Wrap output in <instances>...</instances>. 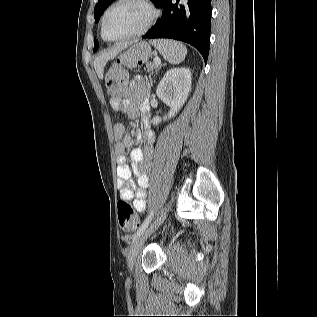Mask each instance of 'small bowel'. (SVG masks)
Listing matches in <instances>:
<instances>
[{
  "label": "small bowel",
  "instance_id": "obj_1",
  "mask_svg": "<svg viewBox=\"0 0 317 317\" xmlns=\"http://www.w3.org/2000/svg\"><path fill=\"white\" fill-rule=\"evenodd\" d=\"M148 89L140 76L134 77L124 97L113 96L110 105L115 111H121L129 118H140L141 130L135 136L126 133L122 123L113 127L115 153L117 162L118 187L123 199L133 200L137 212L146 208L147 189L149 186L148 172L152 158L155 135L150 129ZM143 138L144 148H133L130 152L131 166L126 163V150L131 148L135 140ZM132 175L137 177V184L131 181Z\"/></svg>",
  "mask_w": 317,
  "mask_h": 317
}]
</instances>
